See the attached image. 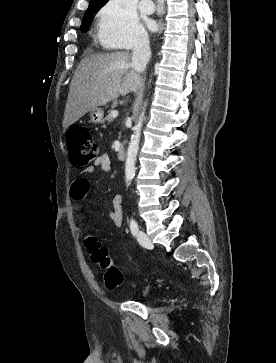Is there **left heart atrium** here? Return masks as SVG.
I'll return each mask as SVG.
<instances>
[{
    "label": "left heart atrium",
    "mask_w": 276,
    "mask_h": 363,
    "mask_svg": "<svg viewBox=\"0 0 276 363\" xmlns=\"http://www.w3.org/2000/svg\"><path fill=\"white\" fill-rule=\"evenodd\" d=\"M153 21H151V20H147V25L150 27V28H152L153 27Z\"/></svg>",
    "instance_id": "39dd6f15"
}]
</instances>
